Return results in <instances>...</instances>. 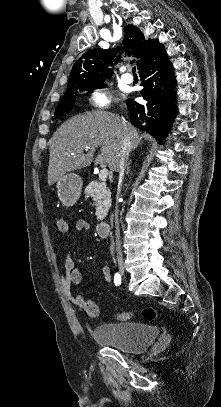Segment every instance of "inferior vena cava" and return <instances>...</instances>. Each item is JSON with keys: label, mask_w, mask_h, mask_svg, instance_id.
Masks as SVG:
<instances>
[{"label": "inferior vena cava", "mask_w": 221, "mask_h": 407, "mask_svg": "<svg viewBox=\"0 0 221 407\" xmlns=\"http://www.w3.org/2000/svg\"><path fill=\"white\" fill-rule=\"evenodd\" d=\"M123 124L125 125V121L123 119ZM131 151V142L130 138L128 135H126L122 141V150H121V156L117 165V172L119 173V182H122L123 177H124V171H125V166L126 162L129 157V153ZM118 208H116L115 211V235H116V252H117V260L118 262L123 261V254H122V249H121V242H120V229H119V219H118Z\"/></svg>", "instance_id": "obj_1"}]
</instances>
